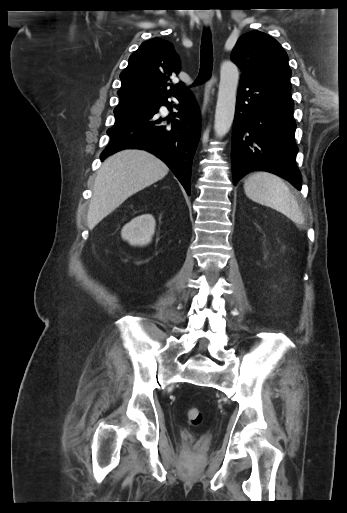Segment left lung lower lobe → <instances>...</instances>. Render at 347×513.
<instances>
[{
    "instance_id": "left-lung-lower-lobe-1",
    "label": "left lung lower lobe",
    "mask_w": 347,
    "mask_h": 513,
    "mask_svg": "<svg viewBox=\"0 0 347 513\" xmlns=\"http://www.w3.org/2000/svg\"><path fill=\"white\" fill-rule=\"evenodd\" d=\"M290 89L286 81L241 78L232 134L234 184L252 170H264L301 190Z\"/></svg>"
}]
</instances>
